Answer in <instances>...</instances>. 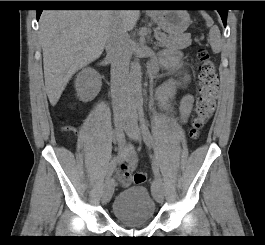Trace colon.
Returning a JSON list of instances; mask_svg holds the SVG:
<instances>
[{"label": "colon", "mask_w": 265, "mask_h": 245, "mask_svg": "<svg viewBox=\"0 0 265 245\" xmlns=\"http://www.w3.org/2000/svg\"><path fill=\"white\" fill-rule=\"evenodd\" d=\"M198 70L200 84L199 95L190 128V136L193 139L198 138L201 130L211 119L219 94V78L216 63L210 58L207 51L203 49L198 53ZM146 179V174L142 172L133 175V182L135 184H142Z\"/></svg>", "instance_id": "5ec220e1"}]
</instances>
